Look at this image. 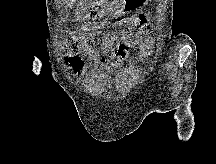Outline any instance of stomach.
<instances>
[{"instance_id": "obj_1", "label": "stomach", "mask_w": 216, "mask_h": 164, "mask_svg": "<svg viewBox=\"0 0 216 164\" xmlns=\"http://www.w3.org/2000/svg\"><path fill=\"white\" fill-rule=\"evenodd\" d=\"M149 0H117V3H110V7L103 9H90V14H106L110 20H128L132 17V10L141 9Z\"/></svg>"}]
</instances>
